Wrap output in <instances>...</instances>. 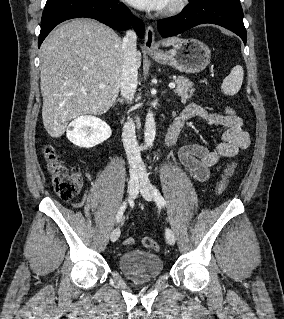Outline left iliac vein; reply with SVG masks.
<instances>
[{"mask_svg": "<svg viewBox=\"0 0 284 319\" xmlns=\"http://www.w3.org/2000/svg\"><path fill=\"white\" fill-rule=\"evenodd\" d=\"M152 185L147 177L146 173H143L141 175V179H140V192L141 195L143 196V198L147 201H152L153 199V192H152ZM166 240L168 242V244L170 245H174L175 244V235L174 232L170 229L167 228L166 232Z\"/></svg>", "mask_w": 284, "mask_h": 319, "instance_id": "obj_1", "label": "left iliac vein"}]
</instances>
